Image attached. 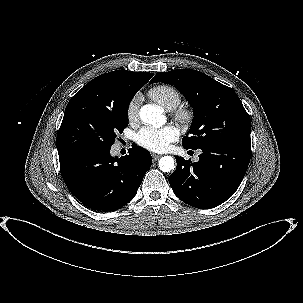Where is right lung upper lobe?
I'll return each instance as SVG.
<instances>
[{"label": "right lung upper lobe", "mask_w": 303, "mask_h": 303, "mask_svg": "<svg viewBox=\"0 0 303 303\" xmlns=\"http://www.w3.org/2000/svg\"><path fill=\"white\" fill-rule=\"evenodd\" d=\"M153 74L117 70L102 74L86 84L71 100L87 99L110 108L125 106L130 94L146 84Z\"/></svg>", "instance_id": "1"}]
</instances>
